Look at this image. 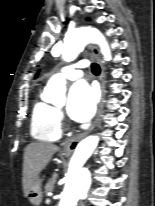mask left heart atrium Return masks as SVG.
<instances>
[{"label":"left heart atrium","instance_id":"39dd6f15","mask_svg":"<svg viewBox=\"0 0 155 206\" xmlns=\"http://www.w3.org/2000/svg\"><path fill=\"white\" fill-rule=\"evenodd\" d=\"M95 106V90L85 81L76 82L69 92L67 103L69 116L78 122L87 121L93 116Z\"/></svg>","mask_w":155,"mask_h":206}]
</instances>
